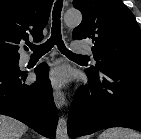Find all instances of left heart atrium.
Listing matches in <instances>:
<instances>
[{"mask_svg": "<svg viewBox=\"0 0 141 139\" xmlns=\"http://www.w3.org/2000/svg\"><path fill=\"white\" fill-rule=\"evenodd\" d=\"M67 77V71L63 67L54 68L47 75L48 80L54 87L62 86L67 81Z\"/></svg>", "mask_w": 141, "mask_h": 139, "instance_id": "1", "label": "left heart atrium"}]
</instances>
